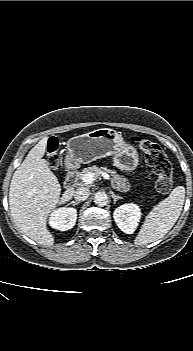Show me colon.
<instances>
[{
    "label": "colon",
    "instance_id": "1",
    "mask_svg": "<svg viewBox=\"0 0 193 351\" xmlns=\"http://www.w3.org/2000/svg\"><path fill=\"white\" fill-rule=\"evenodd\" d=\"M131 140L145 154L147 164L156 174V189L158 192L162 195L169 194L173 187V171L162 148L156 143L142 137H133ZM57 152L58 142L52 138L47 144V161L53 169H57L59 165Z\"/></svg>",
    "mask_w": 193,
    "mask_h": 351
}]
</instances>
